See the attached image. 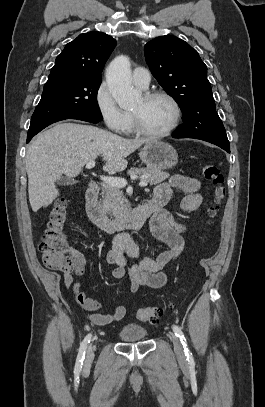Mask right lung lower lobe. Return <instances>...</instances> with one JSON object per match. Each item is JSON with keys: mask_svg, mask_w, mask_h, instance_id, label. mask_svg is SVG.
<instances>
[{"mask_svg": "<svg viewBox=\"0 0 265 407\" xmlns=\"http://www.w3.org/2000/svg\"><path fill=\"white\" fill-rule=\"evenodd\" d=\"M73 119L83 120V121H87V122H91V123H98L99 122L98 120H95V119L89 118V117H77V118H73ZM33 136L34 135H28L27 136V143L31 140V138Z\"/></svg>", "mask_w": 265, "mask_h": 407, "instance_id": "98d812e1", "label": "right lung lower lobe"}]
</instances>
